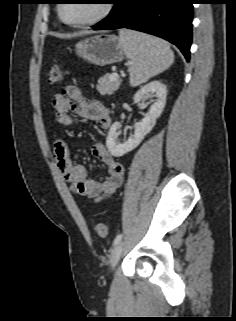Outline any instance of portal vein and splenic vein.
<instances>
[{
  "instance_id": "1",
  "label": "portal vein and splenic vein",
  "mask_w": 236,
  "mask_h": 321,
  "mask_svg": "<svg viewBox=\"0 0 236 321\" xmlns=\"http://www.w3.org/2000/svg\"><path fill=\"white\" fill-rule=\"evenodd\" d=\"M118 78H119V75L116 74V73L112 74L111 77H110L111 80L118 79Z\"/></svg>"
}]
</instances>
